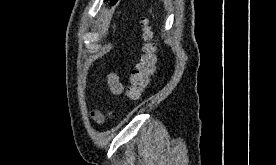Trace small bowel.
I'll return each mask as SVG.
<instances>
[{"label":"small bowel","mask_w":276,"mask_h":165,"mask_svg":"<svg viewBox=\"0 0 276 165\" xmlns=\"http://www.w3.org/2000/svg\"><path fill=\"white\" fill-rule=\"evenodd\" d=\"M107 82L111 93L119 95L124 91V86L117 74L109 73L107 76ZM92 117L99 123L103 122L105 119V116L100 112H93Z\"/></svg>","instance_id":"small-bowel-1"}]
</instances>
